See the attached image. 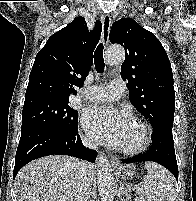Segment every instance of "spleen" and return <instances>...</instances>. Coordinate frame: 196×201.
I'll return each instance as SVG.
<instances>
[{
  "instance_id": "spleen-1",
  "label": "spleen",
  "mask_w": 196,
  "mask_h": 201,
  "mask_svg": "<svg viewBox=\"0 0 196 201\" xmlns=\"http://www.w3.org/2000/svg\"><path fill=\"white\" fill-rule=\"evenodd\" d=\"M147 175L140 183L135 201H175V180L162 166L146 162Z\"/></svg>"
}]
</instances>
